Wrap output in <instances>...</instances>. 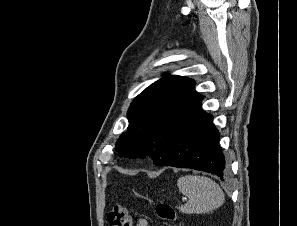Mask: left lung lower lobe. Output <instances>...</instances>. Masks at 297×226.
I'll use <instances>...</instances> for the list:
<instances>
[{"label":"left lung lower lobe","instance_id":"left-lung-lower-lobe-1","mask_svg":"<svg viewBox=\"0 0 297 226\" xmlns=\"http://www.w3.org/2000/svg\"><path fill=\"white\" fill-rule=\"evenodd\" d=\"M212 120L213 116L202 110L200 101L156 164L201 170L225 178L227 167L219 147L220 134Z\"/></svg>","mask_w":297,"mask_h":226}]
</instances>
